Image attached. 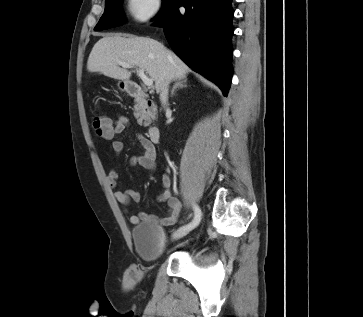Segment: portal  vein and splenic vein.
<instances>
[{
  "mask_svg": "<svg viewBox=\"0 0 363 317\" xmlns=\"http://www.w3.org/2000/svg\"><path fill=\"white\" fill-rule=\"evenodd\" d=\"M120 66H122L123 68H131V66L128 63H123L120 62L119 63ZM138 76L141 78V80L143 81V83L147 86V87H152L153 86V80L150 79L149 77H147L144 73V69H139L137 71Z\"/></svg>",
  "mask_w": 363,
  "mask_h": 317,
  "instance_id": "obj_1",
  "label": "portal vein and splenic vein"
}]
</instances>
